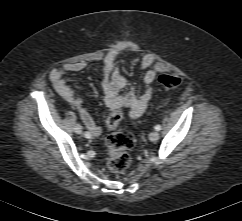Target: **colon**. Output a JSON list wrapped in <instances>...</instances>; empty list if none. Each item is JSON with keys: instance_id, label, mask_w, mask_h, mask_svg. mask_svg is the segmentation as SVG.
<instances>
[{"instance_id": "1", "label": "colon", "mask_w": 242, "mask_h": 221, "mask_svg": "<svg viewBox=\"0 0 242 221\" xmlns=\"http://www.w3.org/2000/svg\"><path fill=\"white\" fill-rule=\"evenodd\" d=\"M159 83L166 89H174L183 83L179 76L162 74ZM124 117L122 109H115L106 120L109 134L106 139L108 148L107 166L115 174L124 173L131 164L129 151L135 145V137L130 132L120 130L119 124Z\"/></svg>"}]
</instances>
